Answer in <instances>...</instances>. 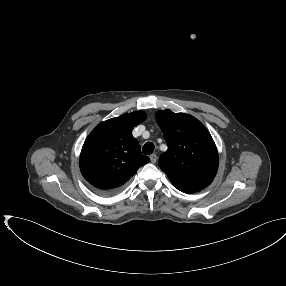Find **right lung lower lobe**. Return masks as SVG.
<instances>
[{
  "label": "right lung lower lobe",
  "instance_id": "right-lung-lower-lobe-1",
  "mask_svg": "<svg viewBox=\"0 0 286 286\" xmlns=\"http://www.w3.org/2000/svg\"><path fill=\"white\" fill-rule=\"evenodd\" d=\"M95 190H96L97 193L103 194V195H108V194L114 193V192H111V193H109V192H103V191H99V190H97V189H95Z\"/></svg>",
  "mask_w": 286,
  "mask_h": 286
}]
</instances>
